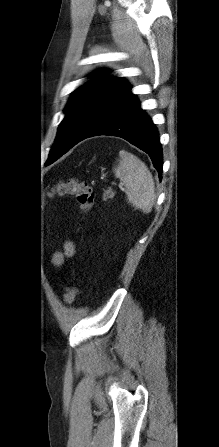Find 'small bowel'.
<instances>
[{"instance_id": "small-bowel-1", "label": "small bowel", "mask_w": 219, "mask_h": 447, "mask_svg": "<svg viewBox=\"0 0 219 447\" xmlns=\"http://www.w3.org/2000/svg\"><path fill=\"white\" fill-rule=\"evenodd\" d=\"M74 254H75V245L72 242L67 241L63 246V252L56 253L54 255L53 262L56 265H60L62 264L65 258L72 257Z\"/></svg>"}]
</instances>
